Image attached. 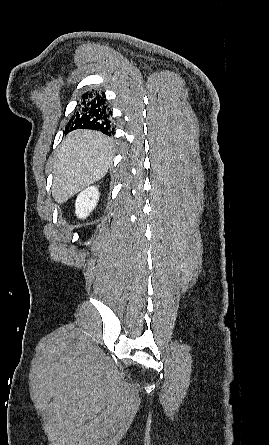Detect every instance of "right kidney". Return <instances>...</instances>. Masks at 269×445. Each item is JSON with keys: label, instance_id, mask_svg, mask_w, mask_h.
Masks as SVG:
<instances>
[{"label": "right kidney", "instance_id": "ca27d5eb", "mask_svg": "<svg viewBox=\"0 0 269 445\" xmlns=\"http://www.w3.org/2000/svg\"><path fill=\"white\" fill-rule=\"evenodd\" d=\"M99 191L96 186H90L82 191L76 199V215L80 219H85L96 207L99 200Z\"/></svg>", "mask_w": 269, "mask_h": 445}]
</instances>
